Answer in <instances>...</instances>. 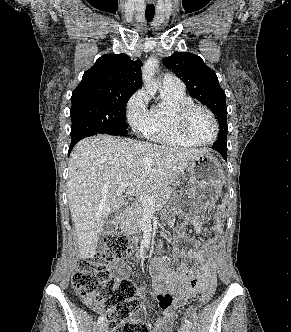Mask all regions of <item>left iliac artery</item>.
Instances as JSON below:
<instances>
[{
    "label": "left iliac artery",
    "mask_w": 291,
    "mask_h": 332,
    "mask_svg": "<svg viewBox=\"0 0 291 332\" xmlns=\"http://www.w3.org/2000/svg\"><path fill=\"white\" fill-rule=\"evenodd\" d=\"M184 322H185V324H186L187 326H190V325H191V322H190L188 319H185Z\"/></svg>",
    "instance_id": "left-iliac-artery-1"
}]
</instances>
